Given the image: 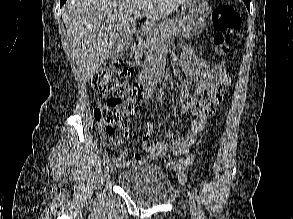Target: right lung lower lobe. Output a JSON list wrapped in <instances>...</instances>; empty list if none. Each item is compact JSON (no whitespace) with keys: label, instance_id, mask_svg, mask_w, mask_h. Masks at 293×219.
Returning <instances> with one entry per match:
<instances>
[{"label":"right lung lower lobe","instance_id":"right-lung-lower-lobe-1","mask_svg":"<svg viewBox=\"0 0 293 219\" xmlns=\"http://www.w3.org/2000/svg\"><path fill=\"white\" fill-rule=\"evenodd\" d=\"M65 2H66V0H61L60 6H62Z\"/></svg>","mask_w":293,"mask_h":219}]
</instances>
